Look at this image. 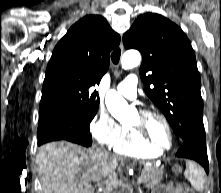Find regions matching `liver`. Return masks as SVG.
I'll return each instance as SVG.
<instances>
[{
    "label": "liver",
    "instance_id": "6515ba94",
    "mask_svg": "<svg viewBox=\"0 0 221 193\" xmlns=\"http://www.w3.org/2000/svg\"><path fill=\"white\" fill-rule=\"evenodd\" d=\"M37 163L43 193H89L117 168L119 159L102 149H86L66 141L42 145Z\"/></svg>",
    "mask_w": 221,
    "mask_h": 193
}]
</instances>
